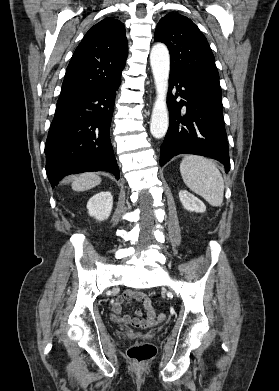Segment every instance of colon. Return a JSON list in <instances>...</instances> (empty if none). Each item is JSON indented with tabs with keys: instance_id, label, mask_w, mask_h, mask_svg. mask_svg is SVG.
<instances>
[{
	"instance_id": "5ec220e1",
	"label": "colon",
	"mask_w": 279,
	"mask_h": 391,
	"mask_svg": "<svg viewBox=\"0 0 279 391\" xmlns=\"http://www.w3.org/2000/svg\"><path fill=\"white\" fill-rule=\"evenodd\" d=\"M166 319L164 314L158 315V321L163 322ZM156 353V349L149 343H136L129 347L127 351L128 357L136 363H144L152 359Z\"/></svg>"
}]
</instances>
